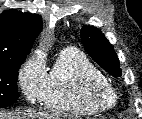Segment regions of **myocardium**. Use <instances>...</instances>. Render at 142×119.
<instances>
[{"label":"myocardium","instance_id":"myocardium-1","mask_svg":"<svg viewBox=\"0 0 142 119\" xmlns=\"http://www.w3.org/2000/svg\"><path fill=\"white\" fill-rule=\"evenodd\" d=\"M89 100L98 110L107 111L116 105L117 95L108 84H98L91 89Z\"/></svg>","mask_w":142,"mask_h":119}]
</instances>
